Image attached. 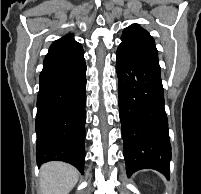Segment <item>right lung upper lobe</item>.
<instances>
[{
    "instance_id": "1",
    "label": "right lung upper lobe",
    "mask_w": 201,
    "mask_h": 194,
    "mask_svg": "<svg viewBox=\"0 0 201 194\" xmlns=\"http://www.w3.org/2000/svg\"><path fill=\"white\" fill-rule=\"evenodd\" d=\"M83 54L81 44L76 42L72 35H66L50 46L43 64L44 67L71 65L84 60Z\"/></svg>"
}]
</instances>
